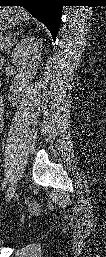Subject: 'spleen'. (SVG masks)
Listing matches in <instances>:
<instances>
[{
    "instance_id": "1",
    "label": "spleen",
    "mask_w": 106,
    "mask_h": 257,
    "mask_svg": "<svg viewBox=\"0 0 106 257\" xmlns=\"http://www.w3.org/2000/svg\"><path fill=\"white\" fill-rule=\"evenodd\" d=\"M23 19L24 21H28L30 19L29 15L27 13H23Z\"/></svg>"
}]
</instances>
